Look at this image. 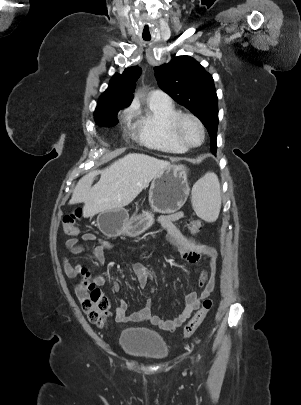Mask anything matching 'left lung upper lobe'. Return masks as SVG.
Wrapping results in <instances>:
<instances>
[{"instance_id": "5c2ea615", "label": "left lung upper lobe", "mask_w": 301, "mask_h": 405, "mask_svg": "<svg viewBox=\"0 0 301 405\" xmlns=\"http://www.w3.org/2000/svg\"><path fill=\"white\" fill-rule=\"evenodd\" d=\"M160 88L187 107L207 128L211 151L217 150L218 98L212 76L190 56H178L155 67Z\"/></svg>"}]
</instances>
